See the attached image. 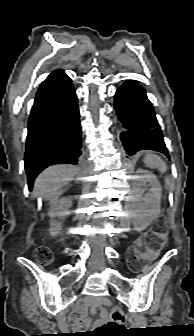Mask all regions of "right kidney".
<instances>
[{"instance_id":"right-kidney-1","label":"right kidney","mask_w":194,"mask_h":336,"mask_svg":"<svg viewBox=\"0 0 194 336\" xmlns=\"http://www.w3.org/2000/svg\"><path fill=\"white\" fill-rule=\"evenodd\" d=\"M50 204V210L48 213L49 217L51 218L50 232L51 235H55V230L61 225V223L54 221V218L59 217L60 219H63L65 216L69 215L68 208L71 206V200L66 198H62L60 200L54 199Z\"/></svg>"}]
</instances>
